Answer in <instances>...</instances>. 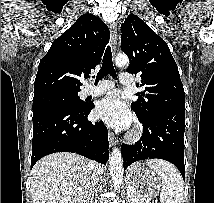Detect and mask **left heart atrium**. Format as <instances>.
Instances as JSON below:
<instances>
[{
    "instance_id": "left-heart-atrium-1",
    "label": "left heart atrium",
    "mask_w": 214,
    "mask_h": 203,
    "mask_svg": "<svg viewBox=\"0 0 214 203\" xmlns=\"http://www.w3.org/2000/svg\"><path fill=\"white\" fill-rule=\"evenodd\" d=\"M96 112L98 117L107 124L118 128H126L133 121L125 102L117 91L111 92L102 99L97 105Z\"/></svg>"
}]
</instances>
